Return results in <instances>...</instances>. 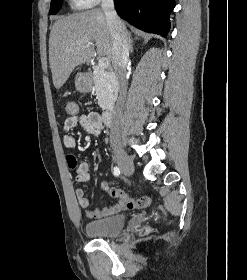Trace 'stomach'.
Returning <instances> with one entry per match:
<instances>
[{"label":"stomach","mask_w":247,"mask_h":280,"mask_svg":"<svg viewBox=\"0 0 247 280\" xmlns=\"http://www.w3.org/2000/svg\"><path fill=\"white\" fill-rule=\"evenodd\" d=\"M75 86L80 92H88L91 90L90 81L81 73L77 74L76 76Z\"/></svg>","instance_id":"1"}]
</instances>
